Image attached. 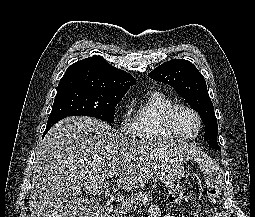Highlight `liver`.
Returning <instances> with one entry per match:
<instances>
[{"instance_id":"6515ba94","label":"liver","mask_w":255,"mask_h":217,"mask_svg":"<svg viewBox=\"0 0 255 217\" xmlns=\"http://www.w3.org/2000/svg\"><path fill=\"white\" fill-rule=\"evenodd\" d=\"M191 144L129 139L91 117H67L46 134L37 154L29 207L31 217H76L82 192L99 195L111 172L117 186L145 185L171 157H199Z\"/></svg>"}]
</instances>
